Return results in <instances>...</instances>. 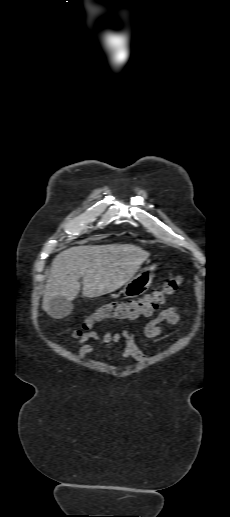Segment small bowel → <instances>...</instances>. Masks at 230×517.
<instances>
[{
	"mask_svg": "<svg viewBox=\"0 0 230 517\" xmlns=\"http://www.w3.org/2000/svg\"><path fill=\"white\" fill-rule=\"evenodd\" d=\"M180 321L181 316L176 307L166 308L145 325L144 335L147 338L160 337L170 326L176 325ZM89 340L100 343L102 345V349H109L118 343L123 342V358H132L137 361H141L146 358V355L138 348L134 334L127 330L115 333L107 332L103 335H98L95 332L83 334L78 339V342L82 344L79 350V354L82 357L94 353L97 350L94 346L86 343Z\"/></svg>",
	"mask_w": 230,
	"mask_h": 517,
	"instance_id": "c3829d8e",
	"label": "small bowel"
}]
</instances>
